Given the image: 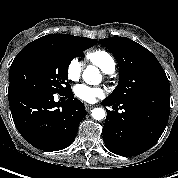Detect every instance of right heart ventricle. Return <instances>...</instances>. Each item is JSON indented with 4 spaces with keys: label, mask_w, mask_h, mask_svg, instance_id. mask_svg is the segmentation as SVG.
<instances>
[{
    "label": "right heart ventricle",
    "mask_w": 178,
    "mask_h": 178,
    "mask_svg": "<svg viewBox=\"0 0 178 178\" xmlns=\"http://www.w3.org/2000/svg\"><path fill=\"white\" fill-rule=\"evenodd\" d=\"M87 58L104 73L115 70V60L112 55L105 50H93L87 54Z\"/></svg>",
    "instance_id": "e07e8e85"
}]
</instances>
